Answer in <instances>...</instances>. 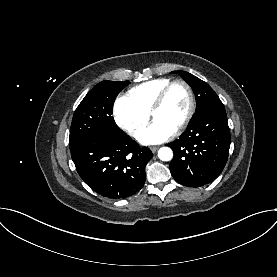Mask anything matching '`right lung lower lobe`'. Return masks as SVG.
I'll list each match as a JSON object with an SVG mask.
<instances>
[{
  "mask_svg": "<svg viewBox=\"0 0 277 277\" xmlns=\"http://www.w3.org/2000/svg\"><path fill=\"white\" fill-rule=\"evenodd\" d=\"M76 170L95 192L121 199L138 192L145 183V166L152 158L127 134L93 136L70 149Z\"/></svg>",
  "mask_w": 277,
  "mask_h": 277,
  "instance_id": "right-lung-lower-lobe-1",
  "label": "right lung lower lobe"
}]
</instances>
